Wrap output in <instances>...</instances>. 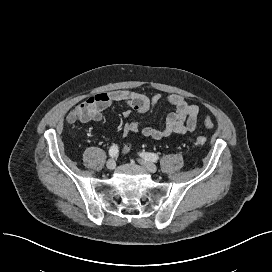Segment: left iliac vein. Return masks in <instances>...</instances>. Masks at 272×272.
Returning <instances> with one entry per match:
<instances>
[{
  "label": "left iliac vein",
  "instance_id": "left-iliac-vein-1",
  "mask_svg": "<svg viewBox=\"0 0 272 272\" xmlns=\"http://www.w3.org/2000/svg\"><path fill=\"white\" fill-rule=\"evenodd\" d=\"M139 163L149 172L156 173L157 172V166L145 159H139Z\"/></svg>",
  "mask_w": 272,
  "mask_h": 272
}]
</instances>
